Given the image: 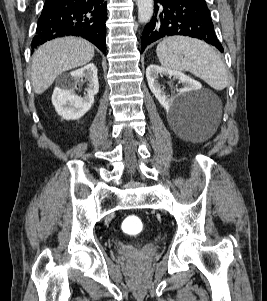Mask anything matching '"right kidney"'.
<instances>
[{"instance_id": "1", "label": "right kidney", "mask_w": 267, "mask_h": 301, "mask_svg": "<svg viewBox=\"0 0 267 301\" xmlns=\"http://www.w3.org/2000/svg\"><path fill=\"white\" fill-rule=\"evenodd\" d=\"M85 78L88 81L87 95L79 97L75 94L77 82ZM99 91L97 68L93 63L72 71L68 79L56 87L52 95V103L59 116L66 120H77L85 115L94 103V95Z\"/></svg>"}]
</instances>
